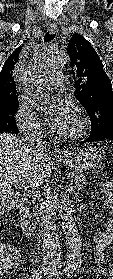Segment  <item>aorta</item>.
<instances>
[{"mask_svg":"<svg viewBox=\"0 0 113 279\" xmlns=\"http://www.w3.org/2000/svg\"><path fill=\"white\" fill-rule=\"evenodd\" d=\"M69 61V57L65 52L56 51L45 57V65L51 70L61 67ZM61 223L63 233L66 239L67 245V267L69 269H75L81 265L82 258V244L81 236L77 228L76 220L72 214V211L66 209L61 216Z\"/></svg>","mask_w":113,"mask_h":279,"instance_id":"762f6f07","label":"aorta"}]
</instances>
